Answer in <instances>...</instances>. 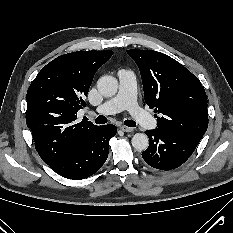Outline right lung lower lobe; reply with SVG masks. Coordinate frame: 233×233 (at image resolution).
Listing matches in <instances>:
<instances>
[{
    "instance_id": "obj_1",
    "label": "right lung lower lobe",
    "mask_w": 233,
    "mask_h": 233,
    "mask_svg": "<svg viewBox=\"0 0 233 233\" xmlns=\"http://www.w3.org/2000/svg\"><path fill=\"white\" fill-rule=\"evenodd\" d=\"M112 125L100 126L75 150L49 164L59 175L68 179H84L97 172L108 157L110 138L116 135Z\"/></svg>"
}]
</instances>
